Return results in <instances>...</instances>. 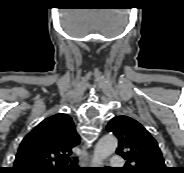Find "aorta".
Instances as JSON below:
<instances>
[{"mask_svg":"<svg viewBox=\"0 0 184 173\" xmlns=\"http://www.w3.org/2000/svg\"><path fill=\"white\" fill-rule=\"evenodd\" d=\"M117 146L118 140L114 135L103 136L95 147L92 164L95 167L102 165L103 161L115 152Z\"/></svg>","mask_w":184,"mask_h":173,"instance_id":"1","label":"aorta"}]
</instances>
